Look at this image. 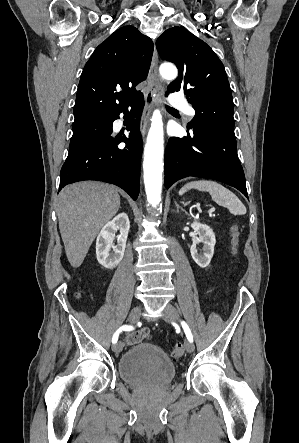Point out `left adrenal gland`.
<instances>
[{
    "instance_id": "1",
    "label": "left adrenal gland",
    "mask_w": 299,
    "mask_h": 443,
    "mask_svg": "<svg viewBox=\"0 0 299 443\" xmlns=\"http://www.w3.org/2000/svg\"><path fill=\"white\" fill-rule=\"evenodd\" d=\"M175 203V205H176V208H177V211L176 212H178L179 211V209L180 210H182L183 212H186L177 202H174Z\"/></svg>"
}]
</instances>
